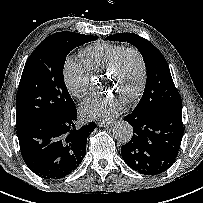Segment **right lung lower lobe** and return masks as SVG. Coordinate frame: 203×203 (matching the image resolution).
Instances as JSON below:
<instances>
[{
	"label": "right lung lower lobe",
	"instance_id": "obj_1",
	"mask_svg": "<svg viewBox=\"0 0 203 203\" xmlns=\"http://www.w3.org/2000/svg\"><path fill=\"white\" fill-rule=\"evenodd\" d=\"M76 107L17 129L22 157L38 176L60 179L73 172L86 153L87 136L96 128L91 122L76 127Z\"/></svg>",
	"mask_w": 203,
	"mask_h": 203
}]
</instances>
